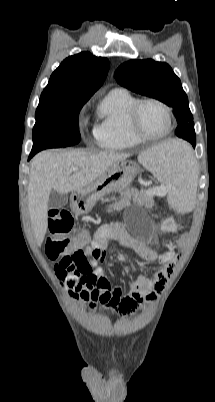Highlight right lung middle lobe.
I'll list each match as a JSON object with an SVG mask.
<instances>
[{
	"mask_svg": "<svg viewBox=\"0 0 215 402\" xmlns=\"http://www.w3.org/2000/svg\"><path fill=\"white\" fill-rule=\"evenodd\" d=\"M89 98L40 97L31 155L46 148L72 146L81 140L78 115Z\"/></svg>",
	"mask_w": 215,
	"mask_h": 402,
	"instance_id": "dd1d6c3e",
	"label": "right lung middle lobe"
}]
</instances>
